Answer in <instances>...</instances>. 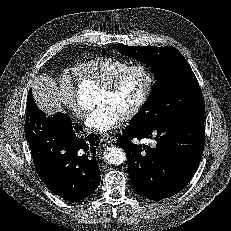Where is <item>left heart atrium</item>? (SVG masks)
Returning a JSON list of instances; mask_svg holds the SVG:
<instances>
[{"instance_id":"left-heart-atrium-1","label":"left heart atrium","mask_w":231,"mask_h":231,"mask_svg":"<svg viewBox=\"0 0 231 231\" xmlns=\"http://www.w3.org/2000/svg\"><path fill=\"white\" fill-rule=\"evenodd\" d=\"M123 118L124 112L117 106L104 102L86 116L85 125L90 129L107 132L119 126Z\"/></svg>"}]
</instances>
